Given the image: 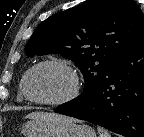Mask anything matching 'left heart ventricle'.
Listing matches in <instances>:
<instances>
[{
	"mask_svg": "<svg viewBox=\"0 0 144 137\" xmlns=\"http://www.w3.org/2000/svg\"><path fill=\"white\" fill-rule=\"evenodd\" d=\"M71 86V78L63 69L43 66L30 76L28 92L37 99L55 100L65 96Z\"/></svg>",
	"mask_w": 144,
	"mask_h": 137,
	"instance_id": "obj_1",
	"label": "left heart ventricle"
}]
</instances>
